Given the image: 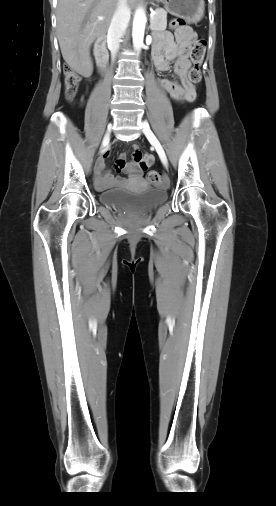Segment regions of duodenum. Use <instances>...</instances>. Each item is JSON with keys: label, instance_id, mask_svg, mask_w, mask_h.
<instances>
[{"label": "duodenum", "instance_id": "obj_1", "mask_svg": "<svg viewBox=\"0 0 276 506\" xmlns=\"http://www.w3.org/2000/svg\"><path fill=\"white\" fill-rule=\"evenodd\" d=\"M106 37H102L96 45V54L101 67H105L108 62V52L105 46Z\"/></svg>", "mask_w": 276, "mask_h": 506}]
</instances>
